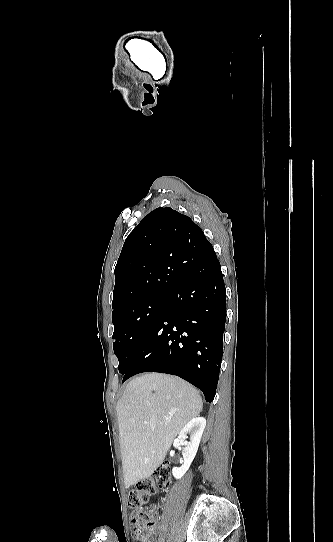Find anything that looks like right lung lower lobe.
<instances>
[{
  "mask_svg": "<svg viewBox=\"0 0 333 542\" xmlns=\"http://www.w3.org/2000/svg\"><path fill=\"white\" fill-rule=\"evenodd\" d=\"M166 259L184 279L168 292L157 317L124 373L123 381L142 372L177 375L212 402L223 355L226 290L211 244L193 251L176 250Z\"/></svg>",
  "mask_w": 333,
  "mask_h": 542,
  "instance_id": "1",
  "label": "right lung lower lobe"
}]
</instances>
